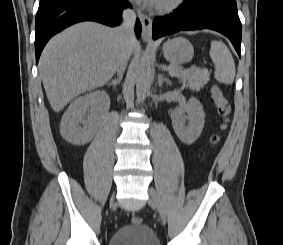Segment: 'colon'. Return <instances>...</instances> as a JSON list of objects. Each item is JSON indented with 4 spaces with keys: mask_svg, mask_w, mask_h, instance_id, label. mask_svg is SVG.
Here are the masks:
<instances>
[{
    "mask_svg": "<svg viewBox=\"0 0 283 245\" xmlns=\"http://www.w3.org/2000/svg\"><path fill=\"white\" fill-rule=\"evenodd\" d=\"M211 97L217 107L218 113L223 120L222 129L224 130L227 127V123L229 121V117L231 114V107L225 98L222 90L218 86H213L211 89ZM211 145L214 146L220 141V135L216 134L211 137ZM133 224H141L142 219L138 216H134L132 218Z\"/></svg>",
    "mask_w": 283,
    "mask_h": 245,
    "instance_id": "5ec220e1",
    "label": "colon"
}]
</instances>
